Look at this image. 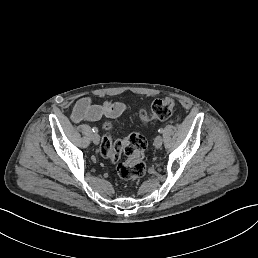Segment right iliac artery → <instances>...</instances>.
Listing matches in <instances>:
<instances>
[{
  "label": "right iliac artery",
  "mask_w": 258,
  "mask_h": 258,
  "mask_svg": "<svg viewBox=\"0 0 258 258\" xmlns=\"http://www.w3.org/2000/svg\"><path fill=\"white\" fill-rule=\"evenodd\" d=\"M92 131H93L94 133H97V132H98V129H97L96 127H93V128H92Z\"/></svg>",
  "instance_id": "right-iliac-artery-1"
}]
</instances>
